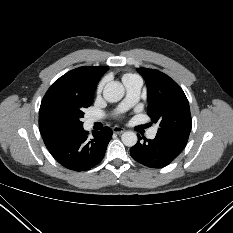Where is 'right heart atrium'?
I'll return each mask as SVG.
<instances>
[{
    "instance_id": "obj_1",
    "label": "right heart atrium",
    "mask_w": 233,
    "mask_h": 233,
    "mask_svg": "<svg viewBox=\"0 0 233 233\" xmlns=\"http://www.w3.org/2000/svg\"><path fill=\"white\" fill-rule=\"evenodd\" d=\"M103 86H104V82L102 81V82H100L99 85L97 86V92H98V93L102 91Z\"/></svg>"
}]
</instances>
